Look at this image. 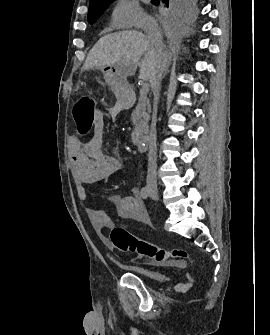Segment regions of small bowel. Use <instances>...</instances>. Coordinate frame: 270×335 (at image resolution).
Wrapping results in <instances>:
<instances>
[{
	"label": "small bowel",
	"instance_id": "c3829d8e",
	"mask_svg": "<svg viewBox=\"0 0 270 335\" xmlns=\"http://www.w3.org/2000/svg\"><path fill=\"white\" fill-rule=\"evenodd\" d=\"M104 130V115L101 111H97L92 137L83 145L74 139L70 146V171L77 195L83 201H88L90 198L85 188L86 184L104 181L117 172L128 170L120 156L103 153ZM108 199L118 217L149 223L150 219L140 199L138 188H133L131 195L111 194ZM87 213L95 230L102 236L114 226V218L107 209L87 206Z\"/></svg>",
	"mask_w": 270,
	"mask_h": 335
}]
</instances>
